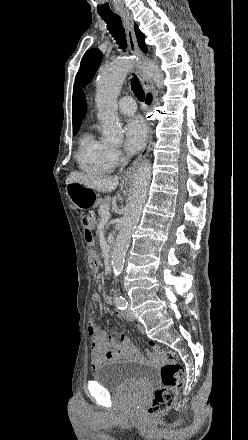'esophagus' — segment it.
I'll return each instance as SVG.
<instances>
[{
    "label": "esophagus",
    "instance_id": "obj_1",
    "mask_svg": "<svg viewBox=\"0 0 248 440\" xmlns=\"http://www.w3.org/2000/svg\"><path fill=\"white\" fill-rule=\"evenodd\" d=\"M120 15L123 19V23H124V27L126 29V33H127V40H128V45H129V49L130 52L133 56L137 57V58H142L143 55L141 53V51L139 50L138 44H137V40H136V35H135V31H134V20L132 15L129 13L128 10L124 9L120 12ZM136 72L137 75L139 77V80L142 84V86L144 87V89L148 92L151 93L152 92V83L150 81V79L145 75V73L143 72V70L141 69L140 66L136 67ZM152 128L151 125L148 126V134H147V139L146 142L143 146V149L141 150L140 154L138 155V157L132 162V164L125 170L124 174H123V179L124 180H129L133 177L136 169L138 168V166L141 164V162L144 160V158L148 155L149 150H150V144L152 141Z\"/></svg>",
    "mask_w": 248,
    "mask_h": 440
}]
</instances>
